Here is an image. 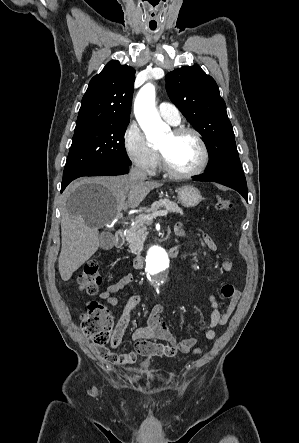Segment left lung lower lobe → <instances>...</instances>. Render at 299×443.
Returning <instances> with one entry per match:
<instances>
[{
  "instance_id": "1",
  "label": "left lung lower lobe",
  "mask_w": 299,
  "mask_h": 443,
  "mask_svg": "<svg viewBox=\"0 0 299 443\" xmlns=\"http://www.w3.org/2000/svg\"><path fill=\"white\" fill-rule=\"evenodd\" d=\"M195 181H211L223 184L238 191L246 200L248 198L247 183L244 173L236 171H216L193 177Z\"/></svg>"
}]
</instances>
